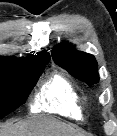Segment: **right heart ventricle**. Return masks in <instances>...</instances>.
I'll return each mask as SVG.
<instances>
[{
    "label": "right heart ventricle",
    "mask_w": 117,
    "mask_h": 136,
    "mask_svg": "<svg viewBox=\"0 0 117 136\" xmlns=\"http://www.w3.org/2000/svg\"><path fill=\"white\" fill-rule=\"evenodd\" d=\"M83 101L75 84L64 74L55 73L37 90L32 109L49 112L72 119L82 117Z\"/></svg>",
    "instance_id": "obj_1"
}]
</instances>
